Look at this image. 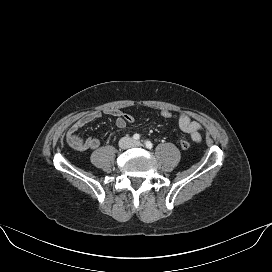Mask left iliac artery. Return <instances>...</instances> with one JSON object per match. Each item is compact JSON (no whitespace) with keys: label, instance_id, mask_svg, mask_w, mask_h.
Segmentation results:
<instances>
[{"label":"left iliac artery","instance_id":"44dca946","mask_svg":"<svg viewBox=\"0 0 272 272\" xmlns=\"http://www.w3.org/2000/svg\"><path fill=\"white\" fill-rule=\"evenodd\" d=\"M145 146L148 149H152L153 148V144L150 141H148V140L145 142Z\"/></svg>","mask_w":272,"mask_h":272}]
</instances>
